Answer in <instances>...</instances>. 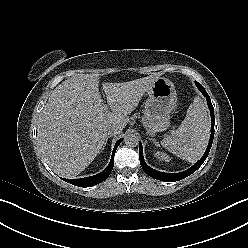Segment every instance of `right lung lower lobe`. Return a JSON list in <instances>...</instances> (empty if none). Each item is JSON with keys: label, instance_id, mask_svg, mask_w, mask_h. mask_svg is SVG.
Here are the masks:
<instances>
[{"label": "right lung lower lobe", "instance_id": "obj_1", "mask_svg": "<svg viewBox=\"0 0 248 248\" xmlns=\"http://www.w3.org/2000/svg\"><path fill=\"white\" fill-rule=\"evenodd\" d=\"M122 140L123 139H119L116 142L109 165L99 174L91 176V177L81 178V179H64V178L62 179L70 184H73L79 187H91V186L101 183L110 175L113 169L114 155H115L117 147L119 146Z\"/></svg>", "mask_w": 248, "mask_h": 248}]
</instances>
